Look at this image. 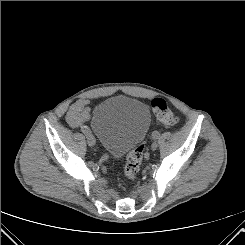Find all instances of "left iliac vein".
I'll return each instance as SVG.
<instances>
[{"label":"left iliac vein","instance_id":"left-iliac-vein-1","mask_svg":"<svg viewBox=\"0 0 245 245\" xmlns=\"http://www.w3.org/2000/svg\"><path fill=\"white\" fill-rule=\"evenodd\" d=\"M157 148H158V143L157 142H153L152 145H151V149L153 151H155Z\"/></svg>","mask_w":245,"mask_h":245}]
</instances>
